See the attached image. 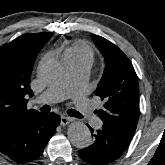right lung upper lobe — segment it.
<instances>
[{
	"instance_id": "right-lung-upper-lobe-1",
	"label": "right lung upper lobe",
	"mask_w": 165,
	"mask_h": 165,
	"mask_svg": "<svg viewBox=\"0 0 165 165\" xmlns=\"http://www.w3.org/2000/svg\"><path fill=\"white\" fill-rule=\"evenodd\" d=\"M52 35L25 34L0 47V134L41 114L27 109V97L33 96L30 78L35 59Z\"/></svg>"
}]
</instances>
